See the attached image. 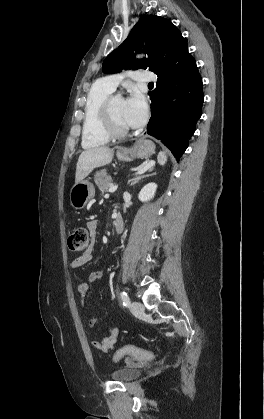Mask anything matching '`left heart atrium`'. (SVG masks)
<instances>
[{"mask_svg": "<svg viewBox=\"0 0 264 419\" xmlns=\"http://www.w3.org/2000/svg\"><path fill=\"white\" fill-rule=\"evenodd\" d=\"M148 115V106L144 96L133 90L125 101L124 119L129 127L142 126Z\"/></svg>", "mask_w": 264, "mask_h": 419, "instance_id": "1", "label": "left heart atrium"}]
</instances>
